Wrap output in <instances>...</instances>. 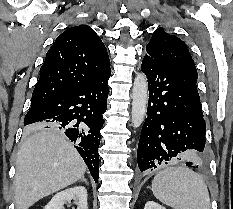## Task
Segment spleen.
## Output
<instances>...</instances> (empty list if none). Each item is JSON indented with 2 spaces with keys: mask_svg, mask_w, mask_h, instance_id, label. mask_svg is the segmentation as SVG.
<instances>
[{
  "mask_svg": "<svg viewBox=\"0 0 233 209\" xmlns=\"http://www.w3.org/2000/svg\"><path fill=\"white\" fill-rule=\"evenodd\" d=\"M152 192L162 203L174 209H210L207 185L201 175L183 167H170L157 173Z\"/></svg>",
  "mask_w": 233,
  "mask_h": 209,
  "instance_id": "spleen-1",
  "label": "spleen"
}]
</instances>
